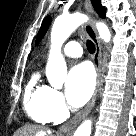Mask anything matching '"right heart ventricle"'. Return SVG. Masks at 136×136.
I'll return each instance as SVG.
<instances>
[{"instance_id":"1","label":"right heart ventricle","mask_w":136,"mask_h":136,"mask_svg":"<svg viewBox=\"0 0 136 136\" xmlns=\"http://www.w3.org/2000/svg\"><path fill=\"white\" fill-rule=\"evenodd\" d=\"M48 87L40 83V75L35 72L30 77L24 91V107L31 119L38 123L54 121L47 106Z\"/></svg>"}]
</instances>
